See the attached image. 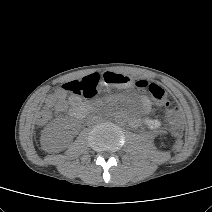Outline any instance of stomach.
I'll return each instance as SVG.
<instances>
[{
  "label": "stomach",
  "mask_w": 212,
  "mask_h": 212,
  "mask_svg": "<svg viewBox=\"0 0 212 212\" xmlns=\"http://www.w3.org/2000/svg\"><path fill=\"white\" fill-rule=\"evenodd\" d=\"M103 82L108 87H128L132 83V78L128 75L108 72L104 75Z\"/></svg>",
  "instance_id": "stomach-1"
}]
</instances>
